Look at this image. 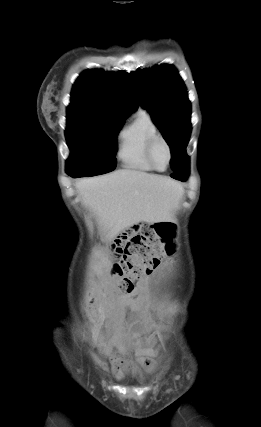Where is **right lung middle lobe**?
I'll use <instances>...</instances> for the list:
<instances>
[{
  "label": "right lung middle lobe",
  "instance_id": "dd1d6c3e",
  "mask_svg": "<svg viewBox=\"0 0 261 427\" xmlns=\"http://www.w3.org/2000/svg\"><path fill=\"white\" fill-rule=\"evenodd\" d=\"M124 121L87 113L67 114L66 139L71 151L67 174L89 177L113 171L116 137Z\"/></svg>",
  "mask_w": 261,
  "mask_h": 427
}]
</instances>
